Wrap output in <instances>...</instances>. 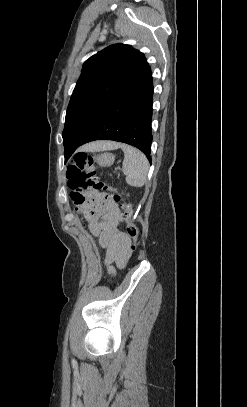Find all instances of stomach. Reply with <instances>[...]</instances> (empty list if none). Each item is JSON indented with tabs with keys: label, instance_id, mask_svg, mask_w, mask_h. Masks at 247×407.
<instances>
[{
	"label": "stomach",
	"instance_id": "obj_1",
	"mask_svg": "<svg viewBox=\"0 0 247 407\" xmlns=\"http://www.w3.org/2000/svg\"><path fill=\"white\" fill-rule=\"evenodd\" d=\"M115 156L112 153H102L95 157V162L101 167H109L114 163Z\"/></svg>",
	"mask_w": 247,
	"mask_h": 407
}]
</instances>
